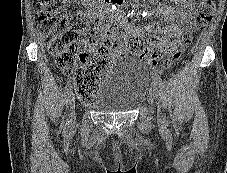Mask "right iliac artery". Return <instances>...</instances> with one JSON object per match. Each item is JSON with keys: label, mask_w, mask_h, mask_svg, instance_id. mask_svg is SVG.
<instances>
[{"label": "right iliac artery", "mask_w": 227, "mask_h": 173, "mask_svg": "<svg viewBox=\"0 0 227 173\" xmlns=\"http://www.w3.org/2000/svg\"><path fill=\"white\" fill-rule=\"evenodd\" d=\"M71 90H72L71 81H67L66 86H65V99H66V103H68V101H69Z\"/></svg>", "instance_id": "82829eb1"}]
</instances>
